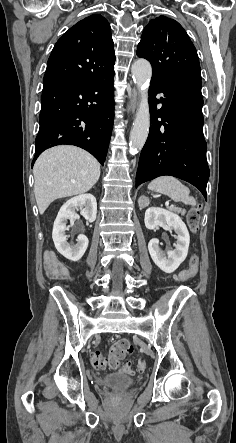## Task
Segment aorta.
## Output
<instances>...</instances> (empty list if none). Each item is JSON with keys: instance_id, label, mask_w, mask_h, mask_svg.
<instances>
[{"instance_id": "aorta-1", "label": "aorta", "mask_w": 236, "mask_h": 443, "mask_svg": "<svg viewBox=\"0 0 236 443\" xmlns=\"http://www.w3.org/2000/svg\"><path fill=\"white\" fill-rule=\"evenodd\" d=\"M131 72L140 94V102L130 132L129 146L131 151L139 152L146 142L150 127L148 86L152 76V68L147 60L138 59L132 64Z\"/></svg>"}]
</instances>
